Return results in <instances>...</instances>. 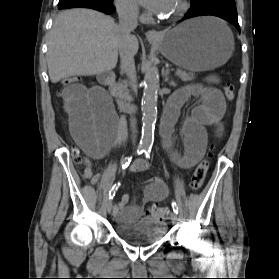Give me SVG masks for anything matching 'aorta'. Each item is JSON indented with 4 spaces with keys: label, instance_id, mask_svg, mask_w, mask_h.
Listing matches in <instances>:
<instances>
[{
    "label": "aorta",
    "instance_id": "762f6f07",
    "mask_svg": "<svg viewBox=\"0 0 279 279\" xmlns=\"http://www.w3.org/2000/svg\"><path fill=\"white\" fill-rule=\"evenodd\" d=\"M159 89V72L155 65L145 69L144 93L142 97V146H150L154 139V128L157 116V97Z\"/></svg>",
    "mask_w": 279,
    "mask_h": 279
}]
</instances>
